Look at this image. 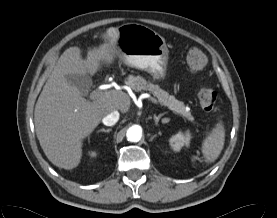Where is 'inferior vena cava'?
Instances as JSON below:
<instances>
[{"instance_id":"obj_1","label":"inferior vena cava","mask_w":277,"mask_h":218,"mask_svg":"<svg viewBox=\"0 0 277 218\" xmlns=\"http://www.w3.org/2000/svg\"><path fill=\"white\" fill-rule=\"evenodd\" d=\"M119 120V112L117 110L112 111L108 115H106L103 119L102 122L106 126H113L114 124L117 123Z\"/></svg>"}]
</instances>
